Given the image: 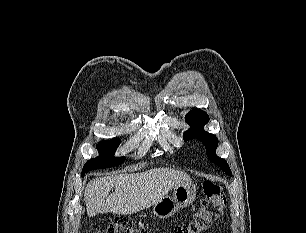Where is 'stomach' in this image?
Returning <instances> with one entry per match:
<instances>
[{
  "label": "stomach",
  "mask_w": 306,
  "mask_h": 233,
  "mask_svg": "<svg viewBox=\"0 0 306 233\" xmlns=\"http://www.w3.org/2000/svg\"><path fill=\"white\" fill-rule=\"evenodd\" d=\"M196 197V187L191 181L177 183L172 196L166 195L154 204L153 213L159 218H169L178 210L190 205Z\"/></svg>",
  "instance_id": "obj_1"
}]
</instances>
